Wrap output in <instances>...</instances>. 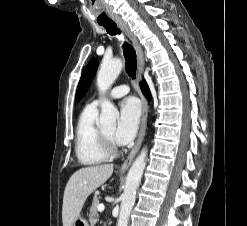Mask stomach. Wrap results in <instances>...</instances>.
I'll return each mask as SVG.
<instances>
[{
	"label": "stomach",
	"mask_w": 247,
	"mask_h": 226,
	"mask_svg": "<svg viewBox=\"0 0 247 226\" xmlns=\"http://www.w3.org/2000/svg\"><path fill=\"white\" fill-rule=\"evenodd\" d=\"M72 226H89V224L86 221V219L79 217L78 219H76L74 221V223L72 224Z\"/></svg>",
	"instance_id": "stomach-1"
}]
</instances>
